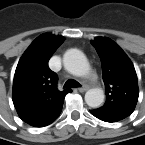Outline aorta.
Wrapping results in <instances>:
<instances>
[{"instance_id": "762f6f07", "label": "aorta", "mask_w": 145, "mask_h": 145, "mask_svg": "<svg viewBox=\"0 0 145 145\" xmlns=\"http://www.w3.org/2000/svg\"><path fill=\"white\" fill-rule=\"evenodd\" d=\"M64 64L69 72L76 76L84 77L90 67L85 57L79 51H69L64 56ZM86 103L92 107H99L104 101V92L100 88L90 89L85 94Z\"/></svg>"}]
</instances>
